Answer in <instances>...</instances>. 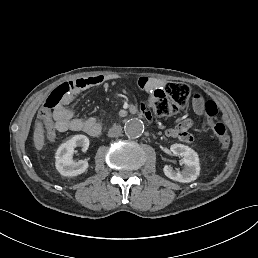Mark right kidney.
I'll list each match as a JSON object with an SVG mask.
<instances>
[{"mask_svg":"<svg viewBox=\"0 0 258 258\" xmlns=\"http://www.w3.org/2000/svg\"><path fill=\"white\" fill-rule=\"evenodd\" d=\"M75 147H81L82 152H86L89 148V139L87 136L79 134L61 144L56 151V168L66 176L78 175L88 167L87 159H81L77 162L72 160V154Z\"/></svg>","mask_w":258,"mask_h":258,"instance_id":"obj_1","label":"right kidney"}]
</instances>
